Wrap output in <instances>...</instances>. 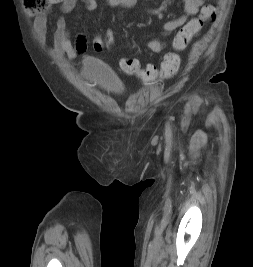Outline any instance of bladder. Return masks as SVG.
I'll use <instances>...</instances> for the list:
<instances>
[{"label": "bladder", "instance_id": "31cf9c89", "mask_svg": "<svg viewBox=\"0 0 253 267\" xmlns=\"http://www.w3.org/2000/svg\"><path fill=\"white\" fill-rule=\"evenodd\" d=\"M82 75L87 80L95 82L105 89L118 90L121 88V84L112 71L96 58L88 57L84 60Z\"/></svg>", "mask_w": 253, "mask_h": 267}]
</instances>
